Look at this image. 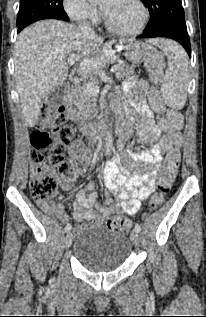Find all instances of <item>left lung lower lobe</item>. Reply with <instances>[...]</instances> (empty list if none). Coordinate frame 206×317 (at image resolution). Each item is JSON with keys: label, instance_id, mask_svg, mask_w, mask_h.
I'll use <instances>...</instances> for the list:
<instances>
[{"label": "left lung lower lobe", "instance_id": "0a47b994", "mask_svg": "<svg viewBox=\"0 0 206 317\" xmlns=\"http://www.w3.org/2000/svg\"><path fill=\"white\" fill-rule=\"evenodd\" d=\"M152 37H165L177 41L185 48L188 55L191 57L190 41L186 27L167 25L156 28L152 31H145L144 34L138 36V38Z\"/></svg>", "mask_w": 206, "mask_h": 317}]
</instances>
